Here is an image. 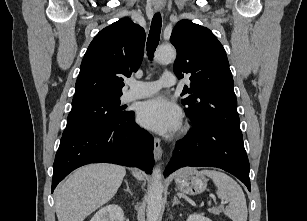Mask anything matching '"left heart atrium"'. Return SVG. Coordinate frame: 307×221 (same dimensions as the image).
I'll return each mask as SVG.
<instances>
[{
	"mask_svg": "<svg viewBox=\"0 0 307 221\" xmlns=\"http://www.w3.org/2000/svg\"><path fill=\"white\" fill-rule=\"evenodd\" d=\"M137 117L143 127L162 135L176 131L181 124L179 108L161 96L143 102Z\"/></svg>",
	"mask_w": 307,
	"mask_h": 221,
	"instance_id": "left-heart-atrium-1",
	"label": "left heart atrium"
}]
</instances>
